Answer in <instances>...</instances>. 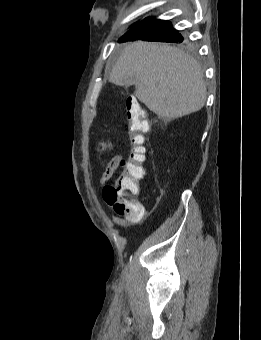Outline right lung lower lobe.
<instances>
[{
	"label": "right lung lower lobe",
	"instance_id": "obj_1",
	"mask_svg": "<svg viewBox=\"0 0 261 340\" xmlns=\"http://www.w3.org/2000/svg\"><path fill=\"white\" fill-rule=\"evenodd\" d=\"M179 32L175 30L169 21L146 18L132 27L119 42L146 40L169 42Z\"/></svg>",
	"mask_w": 261,
	"mask_h": 340
}]
</instances>
